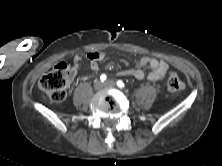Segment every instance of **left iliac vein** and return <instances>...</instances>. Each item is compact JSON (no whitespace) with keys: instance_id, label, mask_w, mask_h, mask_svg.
Masks as SVG:
<instances>
[{"instance_id":"4c4485c4","label":"left iliac vein","mask_w":222,"mask_h":166,"mask_svg":"<svg viewBox=\"0 0 222 166\" xmlns=\"http://www.w3.org/2000/svg\"><path fill=\"white\" fill-rule=\"evenodd\" d=\"M115 85H116L115 81L111 79L105 82V86H108V87H114Z\"/></svg>"}]
</instances>
